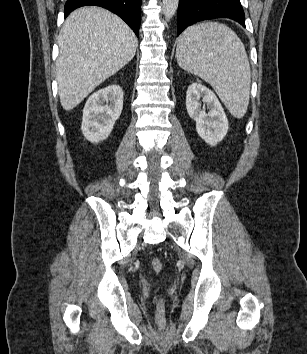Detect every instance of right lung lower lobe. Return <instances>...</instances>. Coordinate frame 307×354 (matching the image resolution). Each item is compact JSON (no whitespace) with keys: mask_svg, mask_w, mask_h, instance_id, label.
Instances as JSON below:
<instances>
[{"mask_svg":"<svg viewBox=\"0 0 307 354\" xmlns=\"http://www.w3.org/2000/svg\"><path fill=\"white\" fill-rule=\"evenodd\" d=\"M142 0H67L65 4V17L70 12L85 5H95L106 8L120 16L139 36L141 22Z\"/></svg>","mask_w":307,"mask_h":354,"instance_id":"obj_1","label":"right lung lower lobe"}]
</instances>
